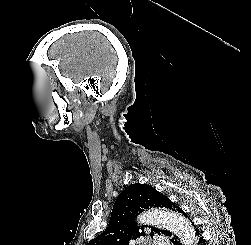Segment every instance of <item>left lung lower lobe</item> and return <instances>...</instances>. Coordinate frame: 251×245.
Instances as JSON below:
<instances>
[{
	"label": "left lung lower lobe",
	"instance_id": "left-lung-lower-lobe-1",
	"mask_svg": "<svg viewBox=\"0 0 251 245\" xmlns=\"http://www.w3.org/2000/svg\"><path fill=\"white\" fill-rule=\"evenodd\" d=\"M179 213H182L185 217H187V215L181 209L179 210ZM192 225H193V223H192ZM193 226H194V230H195L196 244L197 245H204V239H203L199 229L195 228V225H193ZM167 236L170 238V241L173 243V245H181L178 238L175 235H173L171 232L168 233Z\"/></svg>",
	"mask_w": 251,
	"mask_h": 245
}]
</instances>
